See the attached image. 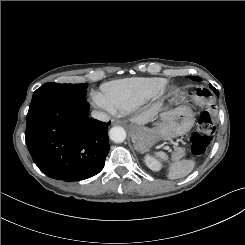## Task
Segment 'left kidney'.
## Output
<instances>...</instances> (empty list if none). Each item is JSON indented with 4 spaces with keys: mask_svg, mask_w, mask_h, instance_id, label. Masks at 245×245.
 Returning <instances> with one entry per match:
<instances>
[{
    "mask_svg": "<svg viewBox=\"0 0 245 245\" xmlns=\"http://www.w3.org/2000/svg\"><path fill=\"white\" fill-rule=\"evenodd\" d=\"M145 163L147 167L150 168L152 171H159L162 167L160 162L150 155L145 156Z\"/></svg>",
    "mask_w": 245,
    "mask_h": 245,
    "instance_id": "obj_1",
    "label": "left kidney"
}]
</instances>
